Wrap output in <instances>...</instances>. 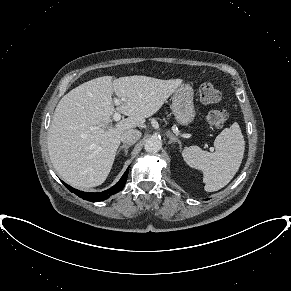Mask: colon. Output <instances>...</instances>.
Returning <instances> with one entry per match:
<instances>
[{
	"label": "colon",
	"mask_w": 291,
	"mask_h": 291,
	"mask_svg": "<svg viewBox=\"0 0 291 291\" xmlns=\"http://www.w3.org/2000/svg\"><path fill=\"white\" fill-rule=\"evenodd\" d=\"M200 100L204 104H216L221 100V93L211 83H203L199 88ZM206 119L209 124L215 127H222L227 120V113L221 109H214L208 112Z\"/></svg>",
	"instance_id": "1"
}]
</instances>
